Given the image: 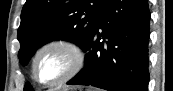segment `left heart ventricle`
I'll return each instance as SVG.
<instances>
[{"label": "left heart ventricle", "mask_w": 173, "mask_h": 91, "mask_svg": "<svg viewBox=\"0 0 173 91\" xmlns=\"http://www.w3.org/2000/svg\"><path fill=\"white\" fill-rule=\"evenodd\" d=\"M70 58L68 54L57 48L45 51L37 63V74L42 81L55 79L68 70Z\"/></svg>", "instance_id": "obj_1"}]
</instances>
